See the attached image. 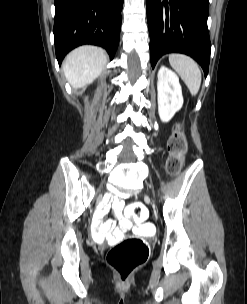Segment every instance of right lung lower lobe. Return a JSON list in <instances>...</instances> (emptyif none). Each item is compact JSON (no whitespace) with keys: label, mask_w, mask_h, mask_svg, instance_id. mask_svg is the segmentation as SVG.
I'll use <instances>...</instances> for the list:
<instances>
[{"label":"right lung lower lobe","mask_w":247,"mask_h":304,"mask_svg":"<svg viewBox=\"0 0 247 304\" xmlns=\"http://www.w3.org/2000/svg\"><path fill=\"white\" fill-rule=\"evenodd\" d=\"M123 0H55L54 42L61 64L82 44L101 46L113 59L119 44Z\"/></svg>","instance_id":"1"}]
</instances>
